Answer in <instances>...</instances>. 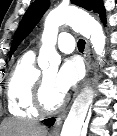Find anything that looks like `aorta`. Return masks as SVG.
Here are the masks:
<instances>
[{
  "label": "aorta",
  "mask_w": 117,
  "mask_h": 136,
  "mask_svg": "<svg viewBox=\"0 0 117 136\" xmlns=\"http://www.w3.org/2000/svg\"><path fill=\"white\" fill-rule=\"evenodd\" d=\"M66 23L70 24L81 35L90 39L99 59L104 56L106 37L101 24L81 10L58 7L52 10L45 19L41 39L42 46L38 58L41 69L44 70L49 67L58 69L60 56L55 49V45L58 28ZM92 99L93 92L90 89L83 91L76 98L63 124L60 136H80Z\"/></svg>",
  "instance_id": "obj_1"
}]
</instances>
